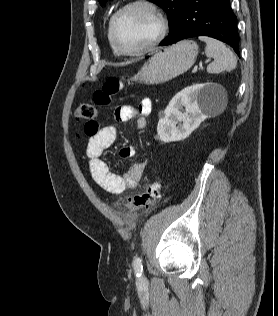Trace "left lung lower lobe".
Instances as JSON below:
<instances>
[{
    "label": "left lung lower lobe",
    "instance_id": "0a47b994",
    "mask_svg": "<svg viewBox=\"0 0 278 316\" xmlns=\"http://www.w3.org/2000/svg\"><path fill=\"white\" fill-rule=\"evenodd\" d=\"M195 36L216 38L240 55L237 18L229 0H185L174 29L159 45H169Z\"/></svg>",
    "mask_w": 278,
    "mask_h": 316
}]
</instances>
